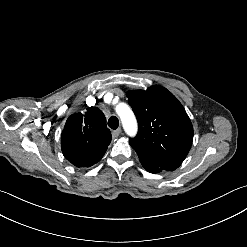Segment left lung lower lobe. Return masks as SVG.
I'll list each match as a JSON object with an SVG mask.
<instances>
[{"instance_id": "0a47b994", "label": "left lung lower lobe", "mask_w": 247, "mask_h": 247, "mask_svg": "<svg viewBox=\"0 0 247 247\" xmlns=\"http://www.w3.org/2000/svg\"><path fill=\"white\" fill-rule=\"evenodd\" d=\"M141 163H142V162H141ZM142 165H143V167H144L147 171H149V172H151V173H159V172L162 171V169H159V168H157V167L154 166V165H148V164H145V163H142Z\"/></svg>"}]
</instances>
